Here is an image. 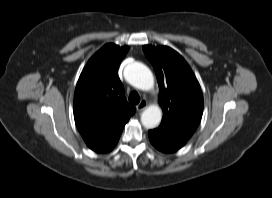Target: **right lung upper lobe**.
<instances>
[{"mask_svg":"<svg viewBox=\"0 0 272 198\" xmlns=\"http://www.w3.org/2000/svg\"><path fill=\"white\" fill-rule=\"evenodd\" d=\"M129 48L113 43L96 52L84 67L74 94V119L92 150L107 144L134 114L126 102L118 67Z\"/></svg>","mask_w":272,"mask_h":198,"instance_id":"right-lung-upper-lobe-1","label":"right lung upper lobe"}]
</instances>
